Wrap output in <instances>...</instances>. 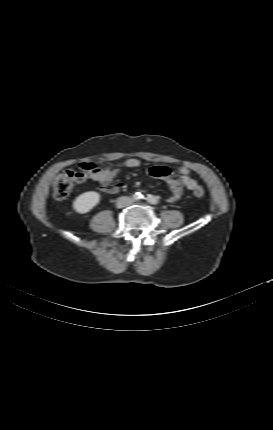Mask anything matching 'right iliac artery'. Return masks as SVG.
<instances>
[{
	"instance_id": "1",
	"label": "right iliac artery",
	"mask_w": 273,
	"mask_h": 430,
	"mask_svg": "<svg viewBox=\"0 0 273 430\" xmlns=\"http://www.w3.org/2000/svg\"><path fill=\"white\" fill-rule=\"evenodd\" d=\"M133 197L135 200H139V199L144 198V196L140 192H136Z\"/></svg>"
}]
</instances>
